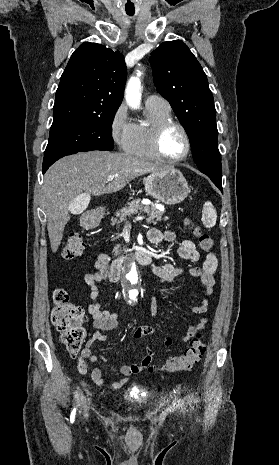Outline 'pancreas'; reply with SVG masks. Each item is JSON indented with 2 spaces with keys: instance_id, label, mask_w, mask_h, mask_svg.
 Listing matches in <instances>:
<instances>
[{
  "instance_id": "cf45deb5",
  "label": "pancreas",
  "mask_w": 279,
  "mask_h": 465,
  "mask_svg": "<svg viewBox=\"0 0 279 465\" xmlns=\"http://www.w3.org/2000/svg\"><path fill=\"white\" fill-rule=\"evenodd\" d=\"M144 212L147 214V223L156 224L158 221L162 219L168 220V217L163 216V211L158 210L153 205H143L140 203V199L133 200L127 204V206L121 208L119 211L116 212L115 216L111 219L112 224H116L119 226L122 222L127 221V219L137 213ZM115 255L119 253V246H115L113 249Z\"/></svg>"
}]
</instances>
